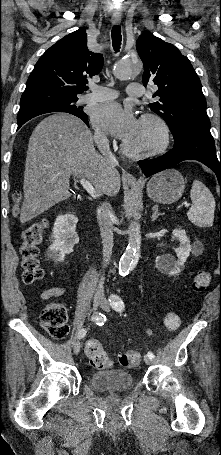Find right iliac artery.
Here are the masks:
<instances>
[{
  "label": "right iliac artery",
  "instance_id": "82829eb1",
  "mask_svg": "<svg viewBox=\"0 0 221 455\" xmlns=\"http://www.w3.org/2000/svg\"><path fill=\"white\" fill-rule=\"evenodd\" d=\"M92 321L95 322L97 325L102 326L104 324V321H106V317L104 314L101 312H97L96 314H93L92 316ZM86 329H81L78 332V338L81 339L86 335Z\"/></svg>",
  "mask_w": 221,
  "mask_h": 455
}]
</instances>
